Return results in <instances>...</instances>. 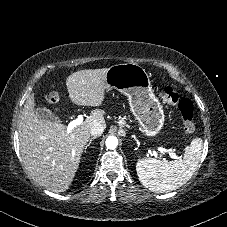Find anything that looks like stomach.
<instances>
[{
  "label": "stomach",
  "instance_id": "stomach-1",
  "mask_svg": "<svg viewBox=\"0 0 227 227\" xmlns=\"http://www.w3.org/2000/svg\"><path fill=\"white\" fill-rule=\"evenodd\" d=\"M105 82L107 90L116 89L128 97L131 111L146 136L154 137L161 131L165 115L143 67L136 63L113 65L106 72Z\"/></svg>",
  "mask_w": 227,
  "mask_h": 227
}]
</instances>
